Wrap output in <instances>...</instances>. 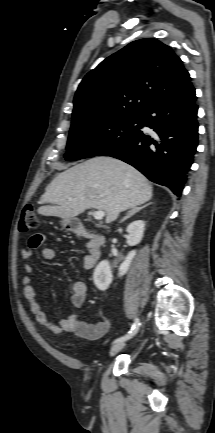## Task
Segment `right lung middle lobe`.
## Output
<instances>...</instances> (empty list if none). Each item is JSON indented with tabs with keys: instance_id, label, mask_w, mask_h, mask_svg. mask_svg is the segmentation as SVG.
<instances>
[{
	"instance_id": "1",
	"label": "right lung middle lobe",
	"mask_w": 215,
	"mask_h": 433,
	"mask_svg": "<svg viewBox=\"0 0 215 433\" xmlns=\"http://www.w3.org/2000/svg\"><path fill=\"white\" fill-rule=\"evenodd\" d=\"M142 127V116H122L71 126L65 158L75 161L104 155L134 139Z\"/></svg>"
}]
</instances>
